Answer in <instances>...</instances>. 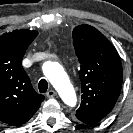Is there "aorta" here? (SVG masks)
<instances>
[{"label": "aorta", "instance_id": "762f6f07", "mask_svg": "<svg viewBox=\"0 0 133 133\" xmlns=\"http://www.w3.org/2000/svg\"><path fill=\"white\" fill-rule=\"evenodd\" d=\"M43 73L58 91L64 103L74 107L77 97L63 67L57 62L48 61L43 64Z\"/></svg>", "mask_w": 133, "mask_h": 133}]
</instances>
